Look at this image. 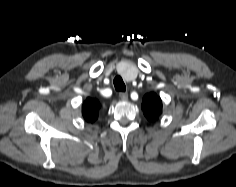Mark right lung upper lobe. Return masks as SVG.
I'll return each mask as SVG.
<instances>
[{
	"label": "right lung upper lobe",
	"mask_w": 236,
	"mask_h": 187,
	"mask_svg": "<svg viewBox=\"0 0 236 187\" xmlns=\"http://www.w3.org/2000/svg\"><path fill=\"white\" fill-rule=\"evenodd\" d=\"M100 104L97 100L87 98L82 105V115L87 122H94L98 118Z\"/></svg>",
	"instance_id": "cb5924a9"
}]
</instances>
